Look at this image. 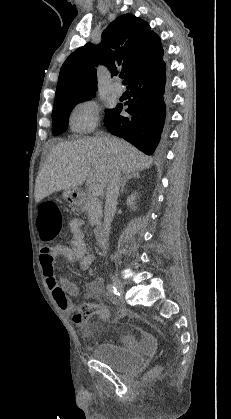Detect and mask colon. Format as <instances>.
Segmentation results:
<instances>
[{
  "instance_id": "colon-1",
  "label": "colon",
  "mask_w": 231,
  "mask_h": 419,
  "mask_svg": "<svg viewBox=\"0 0 231 419\" xmlns=\"http://www.w3.org/2000/svg\"><path fill=\"white\" fill-rule=\"evenodd\" d=\"M63 225V218L58 205L52 200L43 201L38 209V226L43 241L49 242L57 238ZM81 318H89L95 314L106 319L109 317L107 308H99L94 304H83L79 308ZM156 371H151L148 377L153 376Z\"/></svg>"
}]
</instances>
